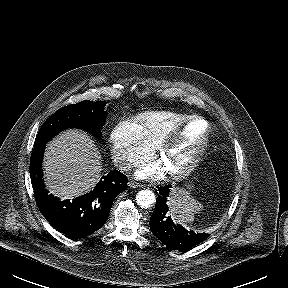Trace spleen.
<instances>
[{"mask_svg": "<svg viewBox=\"0 0 288 288\" xmlns=\"http://www.w3.org/2000/svg\"><path fill=\"white\" fill-rule=\"evenodd\" d=\"M170 215L179 224L186 225L194 220V214L201 210L202 205L189 193H179L173 190L172 196L168 199Z\"/></svg>", "mask_w": 288, "mask_h": 288, "instance_id": "1", "label": "spleen"}]
</instances>
